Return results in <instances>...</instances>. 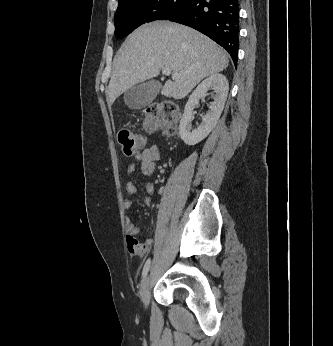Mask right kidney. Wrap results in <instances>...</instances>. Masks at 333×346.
Wrapping results in <instances>:
<instances>
[{"instance_id": "obj_1", "label": "right kidney", "mask_w": 333, "mask_h": 346, "mask_svg": "<svg viewBox=\"0 0 333 346\" xmlns=\"http://www.w3.org/2000/svg\"><path fill=\"white\" fill-rule=\"evenodd\" d=\"M208 90H213V102L209 105V111L202 116V123L193 129V109L199 103V99L206 96ZM229 84L223 74L215 73L203 80L190 95L184 109L179 125V135L187 145H195L202 141L215 127L223 111Z\"/></svg>"}]
</instances>
